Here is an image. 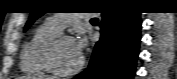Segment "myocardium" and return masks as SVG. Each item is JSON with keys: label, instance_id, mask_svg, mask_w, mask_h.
I'll use <instances>...</instances> for the list:
<instances>
[{"label": "myocardium", "instance_id": "1", "mask_svg": "<svg viewBox=\"0 0 177 79\" xmlns=\"http://www.w3.org/2000/svg\"><path fill=\"white\" fill-rule=\"evenodd\" d=\"M64 40H72L74 41V38L70 35H58L55 38L49 40L42 48L41 50V60L45 68L52 74L58 75V76H71L76 73H78L83 65H84V59L81 56L79 64L70 70H61L58 68V66L55 63L54 59V52L58 45L63 42Z\"/></svg>", "mask_w": 177, "mask_h": 79}]
</instances>
